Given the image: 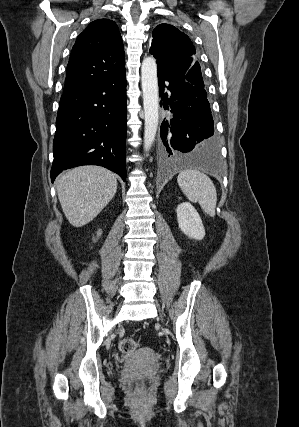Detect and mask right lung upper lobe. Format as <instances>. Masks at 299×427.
Wrapping results in <instances>:
<instances>
[{
  "mask_svg": "<svg viewBox=\"0 0 299 427\" xmlns=\"http://www.w3.org/2000/svg\"><path fill=\"white\" fill-rule=\"evenodd\" d=\"M125 70L122 38L115 22L98 19L77 37L63 93L111 79Z\"/></svg>",
  "mask_w": 299,
  "mask_h": 427,
  "instance_id": "cb5924a9",
  "label": "right lung upper lobe"
}]
</instances>
